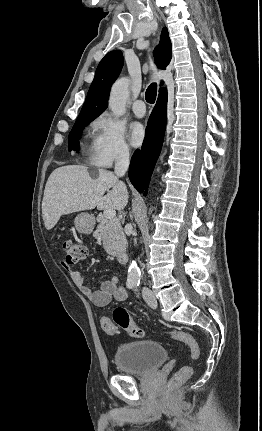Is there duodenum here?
Listing matches in <instances>:
<instances>
[{
    "label": "duodenum",
    "mask_w": 262,
    "mask_h": 431,
    "mask_svg": "<svg viewBox=\"0 0 262 431\" xmlns=\"http://www.w3.org/2000/svg\"><path fill=\"white\" fill-rule=\"evenodd\" d=\"M117 260L120 264H126L129 261L128 254L125 252L119 253L117 256Z\"/></svg>",
    "instance_id": "obj_1"
}]
</instances>
